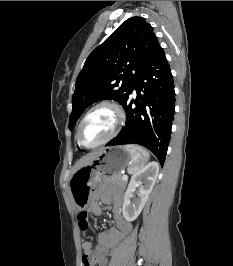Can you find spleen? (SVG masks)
<instances>
[{"instance_id":"spleen-1","label":"spleen","mask_w":233,"mask_h":266,"mask_svg":"<svg viewBox=\"0 0 233 266\" xmlns=\"http://www.w3.org/2000/svg\"><path fill=\"white\" fill-rule=\"evenodd\" d=\"M124 147L130 153L132 159L128 172L135 174L148 162L150 155L138 145H125Z\"/></svg>"}]
</instances>
